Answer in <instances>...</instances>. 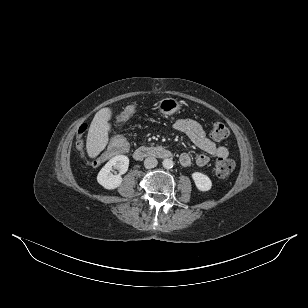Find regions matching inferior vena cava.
Returning <instances> with one entry per match:
<instances>
[{
	"instance_id": "1",
	"label": "inferior vena cava",
	"mask_w": 308,
	"mask_h": 308,
	"mask_svg": "<svg viewBox=\"0 0 308 308\" xmlns=\"http://www.w3.org/2000/svg\"><path fill=\"white\" fill-rule=\"evenodd\" d=\"M157 164H158V161L154 157H148L144 160V166L147 169L154 168L157 166Z\"/></svg>"
}]
</instances>
